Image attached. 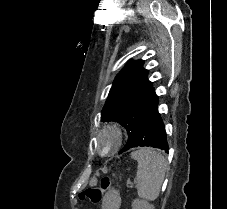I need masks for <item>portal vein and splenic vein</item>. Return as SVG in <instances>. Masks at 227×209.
Here are the masks:
<instances>
[{
  "mask_svg": "<svg viewBox=\"0 0 227 209\" xmlns=\"http://www.w3.org/2000/svg\"><path fill=\"white\" fill-rule=\"evenodd\" d=\"M129 184L131 185L130 187L132 188V187H133L132 185H133L134 183L131 181Z\"/></svg>",
  "mask_w": 227,
  "mask_h": 209,
  "instance_id": "obj_1",
  "label": "portal vein and splenic vein"
}]
</instances>
